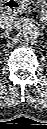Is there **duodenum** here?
<instances>
[{"label":"duodenum","mask_w":47,"mask_h":129,"mask_svg":"<svg viewBox=\"0 0 47 129\" xmlns=\"http://www.w3.org/2000/svg\"><path fill=\"white\" fill-rule=\"evenodd\" d=\"M17 7V3L13 0H8L4 3L3 6V11L5 13H10L12 12L13 9H15Z\"/></svg>","instance_id":"duodenum-1"}]
</instances>
